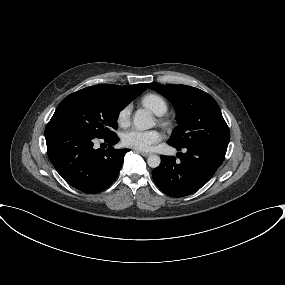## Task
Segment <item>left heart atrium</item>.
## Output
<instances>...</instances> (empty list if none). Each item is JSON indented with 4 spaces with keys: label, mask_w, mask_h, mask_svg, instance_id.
I'll use <instances>...</instances> for the list:
<instances>
[{
    "label": "left heart atrium",
    "mask_w": 285,
    "mask_h": 285,
    "mask_svg": "<svg viewBox=\"0 0 285 285\" xmlns=\"http://www.w3.org/2000/svg\"><path fill=\"white\" fill-rule=\"evenodd\" d=\"M161 140L162 134L157 130L133 128L126 131L122 136V142L125 146L139 151H148Z\"/></svg>",
    "instance_id": "1"
}]
</instances>
